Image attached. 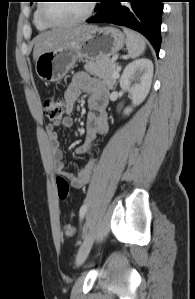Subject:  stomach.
I'll use <instances>...</instances> for the list:
<instances>
[{"instance_id":"1","label":"stomach","mask_w":195,"mask_h":299,"mask_svg":"<svg viewBox=\"0 0 195 299\" xmlns=\"http://www.w3.org/2000/svg\"><path fill=\"white\" fill-rule=\"evenodd\" d=\"M125 42L124 34L115 27L92 26L68 45L42 53L36 60V73L44 81H59L78 60L110 58L123 48Z\"/></svg>"}]
</instances>
